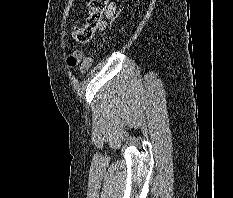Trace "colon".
Returning <instances> with one entry per match:
<instances>
[{
	"label": "colon",
	"mask_w": 233,
	"mask_h": 198,
	"mask_svg": "<svg viewBox=\"0 0 233 198\" xmlns=\"http://www.w3.org/2000/svg\"><path fill=\"white\" fill-rule=\"evenodd\" d=\"M108 0H89V8L90 13L87 17L86 24L83 27H76L73 31V37L78 42H87L89 41L96 27L100 24L102 19V14L106 9ZM93 62V55H87L80 67V71L82 74L86 73ZM68 63L70 66H75L78 63V59L76 56H71L68 58Z\"/></svg>",
	"instance_id": "obj_1"
}]
</instances>
